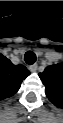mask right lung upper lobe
Returning a JSON list of instances; mask_svg holds the SVG:
<instances>
[{"label": "right lung upper lobe", "instance_id": "1", "mask_svg": "<svg viewBox=\"0 0 63 123\" xmlns=\"http://www.w3.org/2000/svg\"><path fill=\"white\" fill-rule=\"evenodd\" d=\"M30 75L23 65H14L2 56L0 64V98L5 99L14 95L20 88L21 82Z\"/></svg>", "mask_w": 63, "mask_h": 123}]
</instances>
